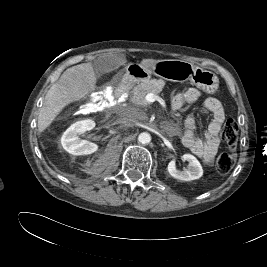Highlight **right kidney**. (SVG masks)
I'll use <instances>...</instances> for the list:
<instances>
[{"mask_svg":"<svg viewBox=\"0 0 267 267\" xmlns=\"http://www.w3.org/2000/svg\"><path fill=\"white\" fill-rule=\"evenodd\" d=\"M95 127L91 119L81 120L72 124L62 135L63 148L72 155H89L98 150V145L79 138V135Z\"/></svg>","mask_w":267,"mask_h":267,"instance_id":"1","label":"right kidney"}]
</instances>
